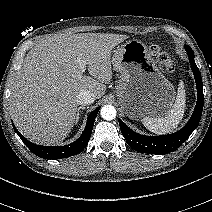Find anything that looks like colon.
<instances>
[{
  "label": "colon",
  "instance_id": "colon-1",
  "mask_svg": "<svg viewBox=\"0 0 212 212\" xmlns=\"http://www.w3.org/2000/svg\"><path fill=\"white\" fill-rule=\"evenodd\" d=\"M149 51L152 56H154L160 64H162L165 69L169 72H172L175 68L174 62L169 56L168 53H166L164 50H162L157 45H151L149 47Z\"/></svg>",
  "mask_w": 212,
  "mask_h": 212
}]
</instances>
